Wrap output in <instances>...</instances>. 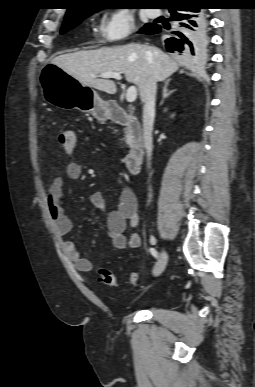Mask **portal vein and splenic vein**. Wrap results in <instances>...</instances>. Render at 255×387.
<instances>
[{
  "instance_id": "1",
  "label": "portal vein and splenic vein",
  "mask_w": 255,
  "mask_h": 387,
  "mask_svg": "<svg viewBox=\"0 0 255 387\" xmlns=\"http://www.w3.org/2000/svg\"><path fill=\"white\" fill-rule=\"evenodd\" d=\"M100 77L101 78H115L117 80H120L122 79V76L120 73L118 72H106V73H102L100 74ZM137 98V89L135 86H130L128 89H127V92H126V100L127 102L129 103H133Z\"/></svg>"
}]
</instances>
